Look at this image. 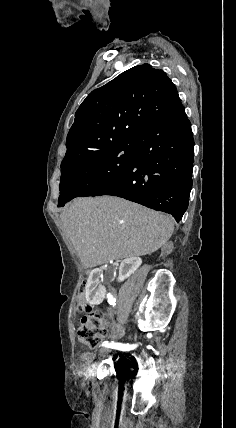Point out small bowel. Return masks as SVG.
<instances>
[{
	"label": "small bowel",
	"mask_w": 236,
	"mask_h": 428,
	"mask_svg": "<svg viewBox=\"0 0 236 428\" xmlns=\"http://www.w3.org/2000/svg\"><path fill=\"white\" fill-rule=\"evenodd\" d=\"M123 333V329L120 326H114L111 330H110V335L112 337H118L120 335H122ZM91 356L89 354H84V358L85 359H89Z\"/></svg>",
	"instance_id": "obj_1"
}]
</instances>
